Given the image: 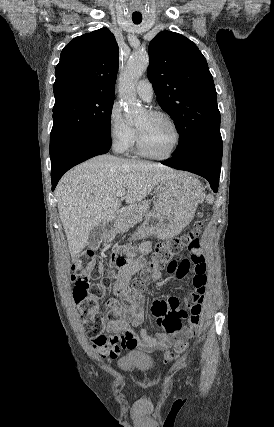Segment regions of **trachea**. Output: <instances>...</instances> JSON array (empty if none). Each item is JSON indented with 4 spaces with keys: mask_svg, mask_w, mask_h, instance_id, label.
<instances>
[{
    "mask_svg": "<svg viewBox=\"0 0 274 427\" xmlns=\"http://www.w3.org/2000/svg\"><path fill=\"white\" fill-rule=\"evenodd\" d=\"M142 20H133V23H135L136 25H138L139 23H141Z\"/></svg>",
    "mask_w": 274,
    "mask_h": 427,
    "instance_id": "obj_1",
    "label": "trachea"
}]
</instances>
